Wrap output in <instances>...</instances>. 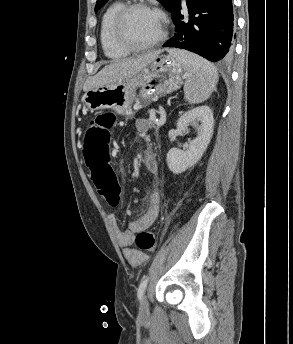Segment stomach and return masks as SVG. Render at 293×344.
<instances>
[{"label":"stomach","mask_w":293,"mask_h":344,"mask_svg":"<svg viewBox=\"0 0 293 344\" xmlns=\"http://www.w3.org/2000/svg\"><path fill=\"white\" fill-rule=\"evenodd\" d=\"M185 69L173 55H157L144 69L115 86H103L87 91L82 101L91 111L111 109L118 114L132 113V103L139 97L166 95L181 87Z\"/></svg>","instance_id":"0dacf381"}]
</instances>
